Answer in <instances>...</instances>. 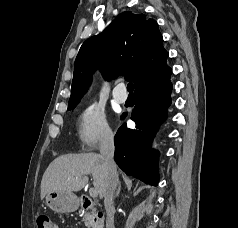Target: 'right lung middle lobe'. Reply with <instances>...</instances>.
I'll return each instance as SVG.
<instances>
[{"label":"right lung middle lobe","mask_w":238,"mask_h":228,"mask_svg":"<svg viewBox=\"0 0 238 228\" xmlns=\"http://www.w3.org/2000/svg\"><path fill=\"white\" fill-rule=\"evenodd\" d=\"M76 105L77 103H69L68 110L73 109Z\"/></svg>","instance_id":"1"}]
</instances>
